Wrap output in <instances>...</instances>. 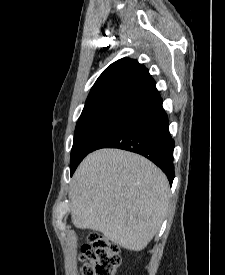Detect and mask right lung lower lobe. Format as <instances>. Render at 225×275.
Wrapping results in <instances>:
<instances>
[{
    "instance_id": "98d812e1",
    "label": "right lung lower lobe",
    "mask_w": 225,
    "mask_h": 275,
    "mask_svg": "<svg viewBox=\"0 0 225 275\" xmlns=\"http://www.w3.org/2000/svg\"><path fill=\"white\" fill-rule=\"evenodd\" d=\"M174 146L168 118L160 100L127 115L92 151L111 147L141 154L160 167L172 184Z\"/></svg>"
}]
</instances>
